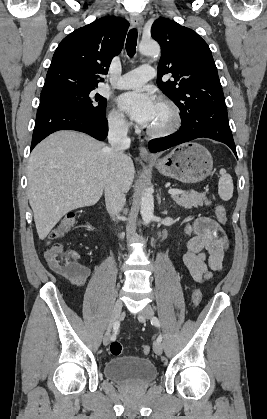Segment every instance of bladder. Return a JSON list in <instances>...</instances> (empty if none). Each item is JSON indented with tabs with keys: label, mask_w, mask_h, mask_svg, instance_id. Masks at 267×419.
Listing matches in <instances>:
<instances>
[{
	"label": "bladder",
	"mask_w": 267,
	"mask_h": 419,
	"mask_svg": "<svg viewBox=\"0 0 267 419\" xmlns=\"http://www.w3.org/2000/svg\"><path fill=\"white\" fill-rule=\"evenodd\" d=\"M104 374L118 383L144 385L156 378L157 370L148 358L123 356L109 359L104 365Z\"/></svg>",
	"instance_id": "1"
}]
</instances>
